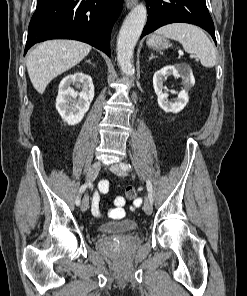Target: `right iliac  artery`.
<instances>
[{
	"instance_id": "82829eb1",
	"label": "right iliac artery",
	"mask_w": 247,
	"mask_h": 296,
	"mask_svg": "<svg viewBox=\"0 0 247 296\" xmlns=\"http://www.w3.org/2000/svg\"><path fill=\"white\" fill-rule=\"evenodd\" d=\"M87 186H88L87 183L83 184V185L80 187L79 194H82V193L86 190ZM75 204H76L77 206L80 205V195L77 196V198H76V200H75Z\"/></svg>"
}]
</instances>
